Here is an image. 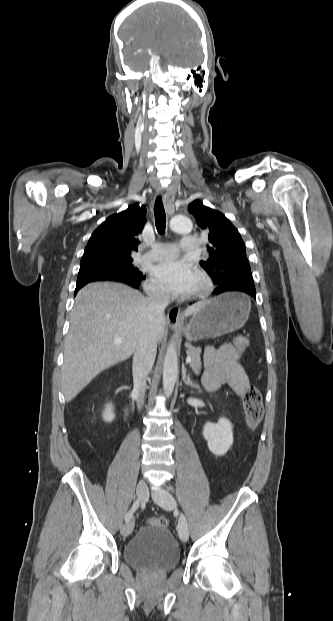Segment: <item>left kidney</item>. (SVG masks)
<instances>
[{
  "label": "left kidney",
  "instance_id": "obj_1",
  "mask_svg": "<svg viewBox=\"0 0 333 621\" xmlns=\"http://www.w3.org/2000/svg\"><path fill=\"white\" fill-rule=\"evenodd\" d=\"M203 436L208 442L209 450L215 456H223L233 444L232 424L225 418L217 423L207 422L203 428Z\"/></svg>",
  "mask_w": 333,
  "mask_h": 621
}]
</instances>
